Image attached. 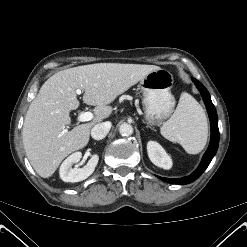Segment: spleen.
I'll use <instances>...</instances> for the list:
<instances>
[{
	"instance_id": "obj_1",
	"label": "spleen",
	"mask_w": 247,
	"mask_h": 247,
	"mask_svg": "<svg viewBox=\"0 0 247 247\" xmlns=\"http://www.w3.org/2000/svg\"><path fill=\"white\" fill-rule=\"evenodd\" d=\"M161 134L180 144L189 154H198L204 149L208 137L206 115L190 94H181L175 112L161 127Z\"/></svg>"
}]
</instances>
